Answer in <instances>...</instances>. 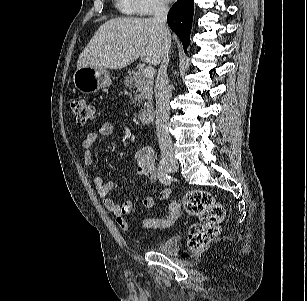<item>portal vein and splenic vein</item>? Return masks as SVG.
I'll return each mask as SVG.
<instances>
[{
	"label": "portal vein and splenic vein",
	"instance_id": "portal-vein-and-splenic-vein-1",
	"mask_svg": "<svg viewBox=\"0 0 307 301\" xmlns=\"http://www.w3.org/2000/svg\"><path fill=\"white\" fill-rule=\"evenodd\" d=\"M154 68L152 66H147L143 70V74L145 77H153L154 75Z\"/></svg>",
	"mask_w": 307,
	"mask_h": 301
}]
</instances>
